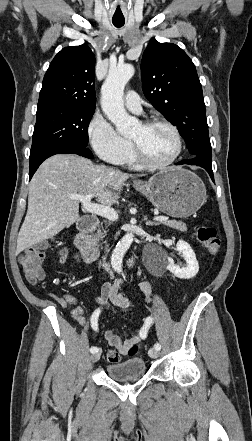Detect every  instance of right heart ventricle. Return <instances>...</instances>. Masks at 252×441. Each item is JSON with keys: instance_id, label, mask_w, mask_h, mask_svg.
Returning <instances> with one entry per match:
<instances>
[{"instance_id": "e07e8e85", "label": "right heart ventricle", "mask_w": 252, "mask_h": 441, "mask_svg": "<svg viewBox=\"0 0 252 441\" xmlns=\"http://www.w3.org/2000/svg\"><path fill=\"white\" fill-rule=\"evenodd\" d=\"M124 164H126L129 167L134 168V169H141L142 168V165L138 162V160L136 159V157H135L133 152L127 158V160L125 161Z\"/></svg>"}]
</instances>
